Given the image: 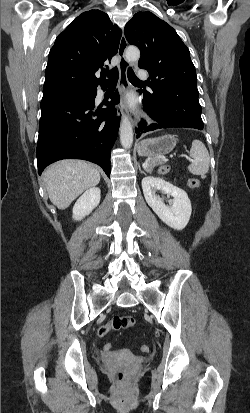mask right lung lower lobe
<instances>
[{"label":"right lung lower lobe","instance_id":"1","mask_svg":"<svg viewBox=\"0 0 250 413\" xmlns=\"http://www.w3.org/2000/svg\"><path fill=\"white\" fill-rule=\"evenodd\" d=\"M106 89V84L101 85ZM97 88L59 96H43L37 143L38 173L49 164L68 158L88 160L110 176V151L120 119L116 90L107 108L96 107Z\"/></svg>","mask_w":250,"mask_h":413}]
</instances>
